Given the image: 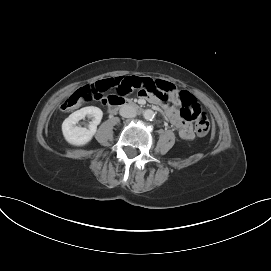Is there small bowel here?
I'll return each mask as SVG.
<instances>
[{
  "label": "small bowel",
  "mask_w": 271,
  "mask_h": 271,
  "mask_svg": "<svg viewBox=\"0 0 271 271\" xmlns=\"http://www.w3.org/2000/svg\"><path fill=\"white\" fill-rule=\"evenodd\" d=\"M158 85L163 89H158ZM90 88L98 91L101 88L105 90L114 87L115 94L119 98H124L125 94L131 91H138L139 98H146L151 105H162L166 116L170 122L178 129L182 139L191 140L194 138V132L191 125L180 115L179 111L171 104H179L176 87L173 83L165 80H157L156 76H118L117 78H108L88 85ZM102 99V95L99 98Z\"/></svg>",
  "instance_id": "1"
}]
</instances>
